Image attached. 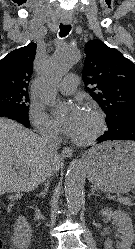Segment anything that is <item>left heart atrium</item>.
I'll list each match as a JSON object with an SVG mask.
<instances>
[{
	"mask_svg": "<svg viewBox=\"0 0 135 249\" xmlns=\"http://www.w3.org/2000/svg\"><path fill=\"white\" fill-rule=\"evenodd\" d=\"M84 113L85 110L80 106L74 105L69 108L65 118L62 121L65 130L69 134L74 135L76 133L82 122Z\"/></svg>",
	"mask_w": 135,
	"mask_h": 249,
	"instance_id": "left-heart-atrium-1",
	"label": "left heart atrium"
}]
</instances>
